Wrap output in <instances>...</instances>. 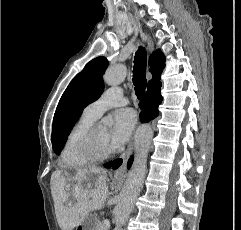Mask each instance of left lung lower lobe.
I'll list each match as a JSON object with an SVG mask.
<instances>
[{
    "mask_svg": "<svg viewBox=\"0 0 241 230\" xmlns=\"http://www.w3.org/2000/svg\"><path fill=\"white\" fill-rule=\"evenodd\" d=\"M132 162H133V157H131L128 161V168L131 167ZM121 164H122V159H117V160H114L113 162L106 163L104 166L107 168L112 167L113 169H117Z\"/></svg>",
    "mask_w": 241,
    "mask_h": 230,
    "instance_id": "0a47b994",
    "label": "left lung lower lobe"
}]
</instances>
